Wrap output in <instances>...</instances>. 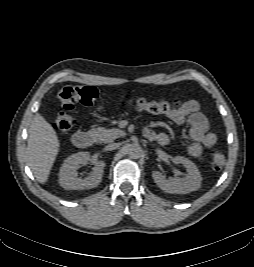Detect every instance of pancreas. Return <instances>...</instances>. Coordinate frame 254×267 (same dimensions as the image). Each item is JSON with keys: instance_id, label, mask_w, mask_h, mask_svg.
Masks as SVG:
<instances>
[{"instance_id": "1", "label": "pancreas", "mask_w": 254, "mask_h": 267, "mask_svg": "<svg viewBox=\"0 0 254 267\" xmlns=\"http://www.w3.org/2000/svg\"><path fill=\"white\" fill-rule=\"evenodd\" d=\"M91 133L96 138V140L101 143L111 142L123 134L121 130L115 128H96L92 129Z\"/></svg>"}]
</instances>
